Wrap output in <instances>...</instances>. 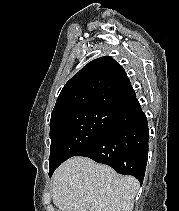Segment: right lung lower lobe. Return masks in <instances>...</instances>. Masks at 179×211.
Segmentation results:
<instances>
[{"label":"right lung lower lobe","instance_id":"obj_1","mask_svg":"<svg viewBox=\"0 0 179 211\" xmlns=\"http://www.w3.org/2000/svg\"><path fill=\"white\" fill-rule=\"evenodd\" d=\"M148 140L147 118L135 96L118 111L116 119L103 135L75 156H85L107 164L120 174L134 176L142 184L148 158ZM55 169L49 172V176Z\"/></svg>","mask_w":179,"mask_h":211}]
</instances>
